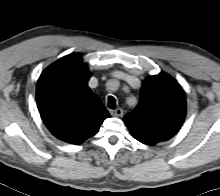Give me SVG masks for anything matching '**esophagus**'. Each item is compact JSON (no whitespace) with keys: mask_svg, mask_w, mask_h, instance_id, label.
I'll use <instances>...</instances> for the list:
<instances>
[{"mask_svg":"<svg viewBox=\"0 0 220 196\" xmlns=\"http://www.w3.org/2000/svg\"><path fill=\"white\" fill-rule=\"evenodd\" d=\"M110 114L112 116H116V117H122L123 116V109L122 108H117L115 110H111Z\"/></svg>","mask_w":220,"mask_h":196,"instance_id":"esophagus-1","label":"esophagus"}]
</instances>
